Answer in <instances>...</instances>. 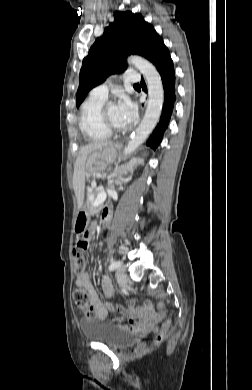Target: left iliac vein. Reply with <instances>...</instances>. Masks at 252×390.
Segmentation results:
<instances>
[{"instance_id": "1", "label": "left iliac vein", "mask_w": 252, "mask_h": 390, "mask_svg": "<svg viewBox=\"0 0 252 390\" xmlns=\"http://www.w3.org/2000/svg\"><path fill=\"white\" fill-rule=\"evenodd\" d=\"M116 279L118 283L126 285L129 281L128 276L125 273V270L123 268H118L116 271Z\"/></svg>"}]
</instances>
